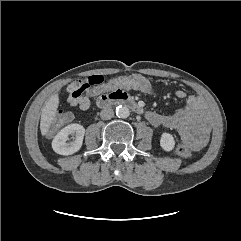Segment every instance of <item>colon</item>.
<instances>
[{"label":"colon","instance_id":"obj_1","mask_svg":"<svg viewBox=\"0 0 241 241\" xmlns=\"http://www.w3.org/2000/svg\"><path fill=\"white\" fill-rule=\"evenodd\" d=\"M125 90H137L147 95L156 93L155 87L143 76H119L105 81L101 75H92L83 80L70 84V95L74 98L81 97L83 93L90 96L97 94L105 95L110 93L124 92ZM71 120V116L61 112L56 120L50 125L49 133L53 134L61 125ZM175 152L182 158H190V150L182 144L175 147Z\"/></svg>","mask_w":241,"mask_h":241}]
</instances>
